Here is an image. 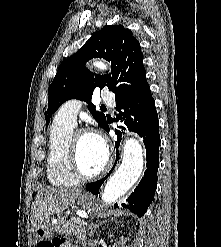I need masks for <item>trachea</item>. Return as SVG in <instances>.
<instances>
[{"label": "trachea", "mask_w": 221, "mask_h": 247, "mask_svg": "<svg viewBox=\"0 0 221 247\" xmlns=\"http://www.w3.org/2000/svg\"><path fill=\"white\" fill-rule=\"evenodd\" d=\"M101 108H102V109H106V106H105V105H102Z\"/></svg>", "instance_id": "trachea-1"}]
</instances>
